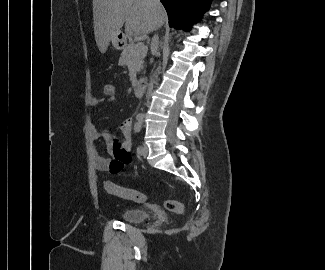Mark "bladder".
Instances as JSON below:
<instances>
[{
    "instance_id": "31cf9c89",
    "label": "bladder",
    "mask_w": 325,
    "mask_h": 270,
    "mask_svg": "<svg viewBox=\"0 0 325 270\" xmlns=\"http://www.w3.org/2000/svg\"><path fill=\"white\" fill-rule=\"evenodd\" d=\"M148 212L140 208H130L122 212L121 218L126 223H140L148 218Z\"/></svg>"
}]
</instances>
